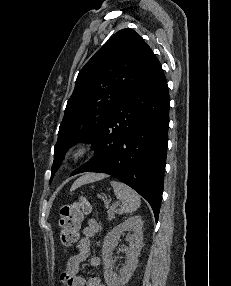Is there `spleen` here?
<instances>
[{"label":"spleen","mask_w":231,"mask_h":286,"mask_svg":"<svg viewBox=\"0 0 231 286\" xmlns=\"http://www.w3.org/2000/svg\"><path fill=\"white\" fill-rule=\"evenodd\" d=\"M110 185L114 189L115 196L122 201L121 213H132L140 207V196L131 187L115 180L111 181Z\"/></svg>","instance_id":"3e777b00"}]
</instances>
